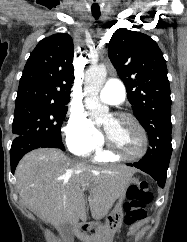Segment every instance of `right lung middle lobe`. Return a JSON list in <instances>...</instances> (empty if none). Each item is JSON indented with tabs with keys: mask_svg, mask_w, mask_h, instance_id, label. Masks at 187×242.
<instances>
[{
	"mask_svg": "<svg viewBox=\"0 0 187 242\" xmlns=\"http://www.w3.org/2000/svg\"><path fill=\"white\" fill-rule=\"evenodd\" d=\"M67 106L25 105L15 107L13 134L61 140V126Z\"/></svg>",
	"mask_w": 187,
	"mask_h": 242,
	"instance_id": "dd1d6c3e",
	"label": "right lung middle lobe"
}]
</instances>
